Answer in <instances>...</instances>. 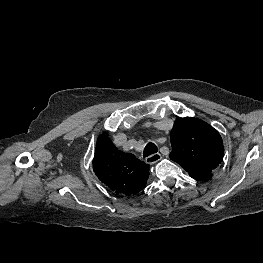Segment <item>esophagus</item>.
Segmentation results:
<instances>
[{"mask_svg": "<svg viewBox=\"0 0 263 263\" xmlns=\"http://www.w3.org/2000/svg\"><path fill=\"white\" fill-rule=\"evenodd\" d=\"M162 158L160 153H154L146 158L148 164H155Z\"/></svg>", "mask_w": 263, "mask_h": 263, "instance_id": "34e87169", "label": "esophagus"}]
</instances>
